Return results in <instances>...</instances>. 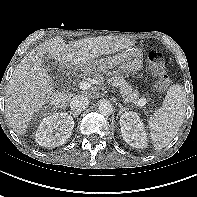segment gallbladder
<instances>
[{"instance_id": "obj_1", "label": "gallbladder", "mask_w": 197, "mask_h": 197, "mask_svg": "<svg viewBox=\"0 0 197 197\" xmlns=\"http://www.w3.org/2000/svg\"><path fill=\"white\" fill-rule=\"evenodd\" d=\"M57 65V61L53 62V60H51V58L48 55H45L43 57V66L47 72H51L52 70L56 69Z\"/></svg>"}]
</instances>
